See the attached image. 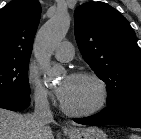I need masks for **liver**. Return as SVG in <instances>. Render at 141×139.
Listing matches in <instances>:
<instances>
[{
  "label": "liver",
  "instance_id": "6515ba94",
  "mask_svg": "<svg viewBox=\"0 0 141 139\" xmlns=\"http://www.w3.org/2000/svg\"><path fill=\"white\" fill-rule=\"evenodd\" d=\"M0 139H54L49 126L39 130L33 114H18L0 108Z\"/></svg>",
  "mask_w": 141,
  "mask_h": 139
}]
</instances>
